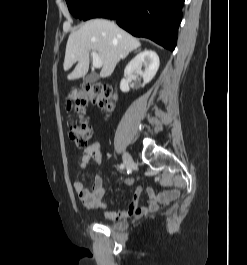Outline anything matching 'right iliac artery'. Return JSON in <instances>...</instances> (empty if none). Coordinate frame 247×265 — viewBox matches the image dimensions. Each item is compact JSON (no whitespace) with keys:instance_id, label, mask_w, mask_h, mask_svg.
<instances>
[{"instance_id":"right-iliac-artery-1","label":"right iliac artery","mask_w":247,"mask_h":265,"mask_svg":"<svg viewBox=\"0 0 247 265\" xmlns=\"http://www.w3.org/2000/svg\"><path fill=\"white\" fill-rule=\"evenodd\" d=\"M119 168H120V169H123V168H124V165H123V164H121V165L119 166Z\"/></svg>"}]
</instances>
